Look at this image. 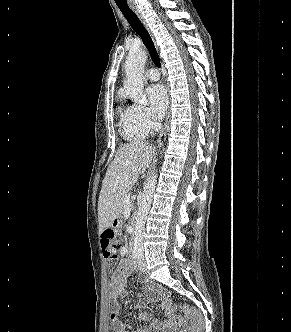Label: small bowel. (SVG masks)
<instances>
[{"instance_id":"small-bowel-1","label":"small bowel","mask_w":291,"mask_h":332,"mask_svg":"<svg viewBox=\"0 0 291 332\" xmlns=\"http://www.w3.org/2000/svg\"><path fill=\"white\" fill-rule=\"evenodd\" d=\"M120 253L122 256L126 254L125 248H121ZM135 270V266L128 260H123L114 269L111 276V282L109 284V300L111 308L115 311L119 309L118 301L127 296V279L131 272ZM159 302L162 309L165 310L167 319L164 321L155 320L152 323L151 329L146 327H138L131 330H126L120 322L113 324L114 332H160L166 328L175 327L180 323V318L174 314V312L168 307V299H163L161 291L155 286H149L146 293L143 295L142 300L138 305V309L141 311L144 309L147 302Z\"/></svg>"}]
</instances>
